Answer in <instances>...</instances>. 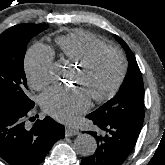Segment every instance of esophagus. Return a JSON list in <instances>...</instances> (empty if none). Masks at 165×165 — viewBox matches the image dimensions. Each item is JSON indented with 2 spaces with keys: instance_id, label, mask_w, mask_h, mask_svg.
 I'll list each match as a JSON object with an SVG mask.
<instances>
[{
  "instance_id": "obj_1",
  "label": "esophagus",
  "mask_w": 165,
  "mask_h": 165,
  "mask_svg": "<svg viewBox=\"0 0 165 165\" xmlns=\"http://www.w3.org/2000/svg\"><path fill=\"white\" fill-rule=\"evenodd\" d=\"M65 133H66V136H74V135L79 134V130L75 127L67 126L65 128Z\"/></svg>"
}]
</instances>
